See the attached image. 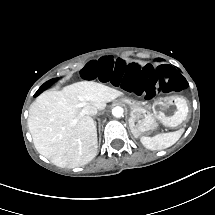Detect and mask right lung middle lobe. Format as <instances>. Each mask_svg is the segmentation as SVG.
<instances>
[{
  "mask_svg": "<svg viewBox=\"0 0 215 215\" xmlns=\"http://www.w3.org/2000/svg\"><path fill=\"white\" fill-rule=\"evenodd\" d=\"M56 81V79H52L50 81H47L46 83H44L39 89L38 91L35 93L34 96H38L42 91H44L46 88H48L52 83H54Z\"/></svg>",
  "mask_w": 215,
  "mask_h": 215,
  "instance_id": "obj_1",
  "label": "right lung middle lobe"
}]
</instances>
